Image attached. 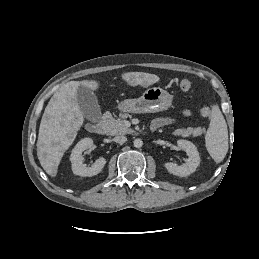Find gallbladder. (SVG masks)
Listing matches in <instances>:
<instances>
[{
	"instance_id": "gallbladder-1",
	"label": "gallbladder",
	"mask_w": 259,
	"mask_h": 259,
	"mask_svg": "<svg viewBox=\"0 0 259 259\" xmlns=\"http://www.w3.org/2000/svg\"><path fill=\"white\" fill-rule=\"evenodd\" d=\"M77 102L84 117L91 122H99L102 113L94 92L85 85H80L77 89Z\"/></svg>"
}]
</instances>
